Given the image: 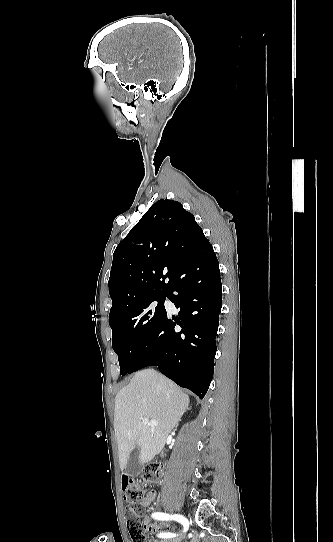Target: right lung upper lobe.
Wrapping results in <instances>:
<instances>
[{
	"label": "right lung upper lobe",
	"mask_w": 333,
	"mask_h": 542,
	"mask_svg": "<svg viewBox=\"0 0 333 542\" xmlns=\"http://www.w3.org/2000/svg\"><path fill=\"white\" fill-rule=\"evenodd\" d=\"M205 240L194 216L179 202L160 199L152 205L113 254L109 320L167 295L181 277L178 253Z\"/></svg>",
	"instance_id": "1"
}]
</instances>
